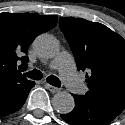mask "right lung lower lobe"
Returning <instances> with one entry per match:
<instances>
[{
	"mask_svg": "<svg viewBox=\"0 0 125 125\" xmlns=\"http://www.w3.org/2000/svg\"><path fill=\"white\" fill-rule=\"evenodd\" d=\"M34 82H12L0 88V116L19 110L25 103Z\"/></svg>",
	"mask_w": 125,
	"mask_h": 125,
	"instance_id": "obj_1",
	"label": "right lung lower lobe"
}]
</instances>
